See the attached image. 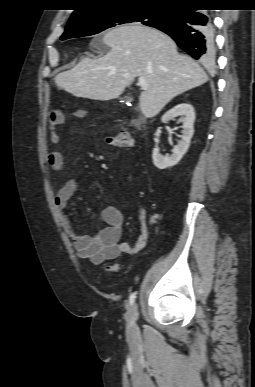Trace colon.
<instances>
[{
	"instance_id": "5ec220e1",
	"label": "colon",
	"mask_w": 255,
	"mask_h": 387,
	"mask_svg": "<svg viewBox=\"0 0 255 387\" xmlns=\"http://www.w3.org/2000/svg\"><path fill=\"white\" fill-rule=\"evenodd\" d=\"M106 143L113 147L119 148H133L135 146V139L129 133H120L117 135H111L106 138ZM107 270L116 272L117 266H107Z\"/></svg>"
}]
</instances>
